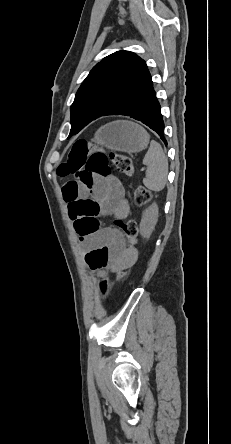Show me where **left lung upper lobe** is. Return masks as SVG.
Listing matches in <instances>:
<instances>
[{
	"instance_id": "5c2ea615",
	"label": "left lung upper lobe",
	"mask_w": 231,
	"mask_h": 444,
	"mask_svg": "<svg viewBox=\"0 0 231 444\" xmlns=\"http://www.w3.org/2000/svg\"><path fill=\"white\" fill-rule=\"evenodd\" d=\"M149 76L145 61L133 52L121 50L105 57L76 93L70 108L73 127L81 128L100 116L115 115ZM76 133L78 130L72 129L69 137Z\"/></svg>"
}]
</instances>
